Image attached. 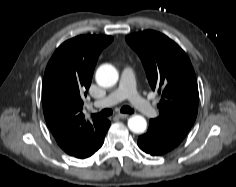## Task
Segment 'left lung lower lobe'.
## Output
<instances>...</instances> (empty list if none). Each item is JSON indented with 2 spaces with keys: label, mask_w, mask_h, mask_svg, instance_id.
<instances>
[{
  "label": "left lung lower lobe",
  "mask_w": 236,
  "mask_h": 187,
  "mask_svg": "<svg viewBox=\"0 0 236 187\" xmlns=\"http://www.w3.org/2000/svg\"><path fill=\"white\" fill-rule=\"evenodd\" d=\"M183 139V136L150 120L147 133L139 136L137 143L144 152L159 156L173 150Z\"/></svg>",
  "instance_id": "obj_1"
}]
</instances>
